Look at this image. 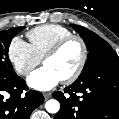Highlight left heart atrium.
Wrapping results in <instances>:
<instances>
[{"instance_id":"39dd6f15","label":"left heart atrium","mask_w":119,"mask_h":119,"mask_svg":"<svg viewBox=\"0 0 119 119\" xmlns=\"http://www.w3.org/2000/svg\"><path fill=\"white\" fill-rule=\"evenodd\" d=\"M62 79L50 67L43 66L34 71L28 78L30 87L39 91H48L55 87Z\"/></svg>"}]
</instances>
